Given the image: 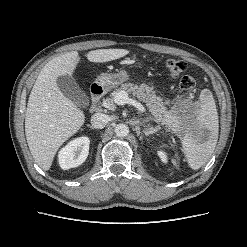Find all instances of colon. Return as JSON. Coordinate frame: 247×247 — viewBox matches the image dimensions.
<instances>
[{
  "label": "colon",
  "instance_id": "colon-1",
  "mask_svg": "<svg viewBox=\"0 0 247 247\" xmlns=\"http://www.w3.org/2000/svg\"><path fill=\"white\" fill-rule=\"evenodd\" d=\"M187 68L184 61L178 59H167L164 62V69L167 75L175 79L179 77ZM179 86L184 91L192 90L195 87V79L190 75H184L181 77Z\"/></svg>",
  "mask_w": 247,
  "mask_h": 247
}]
</instances>
